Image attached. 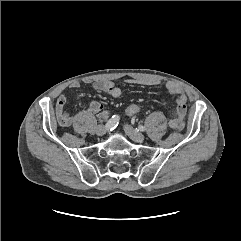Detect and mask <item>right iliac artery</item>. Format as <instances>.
Listing matches in <instances>:
<instances>
[{
	"instance_id": "right-iliac-artery-1",
	"label": "right iliac artery",
	"mask_w": 241,
	"mask_h": 241,
	"mask_svg": "<svg viewBox=\"0 0 241 241\" xmlns=\"http://www.w3.org/2000/svg\"><path fill=\"white\" fill-rule=\"evenodd\" d=\"M119 122V116L113 115L112 118L106 123V128L108 130H113L117 127Z\"/></svg>"
}]
</instances>
